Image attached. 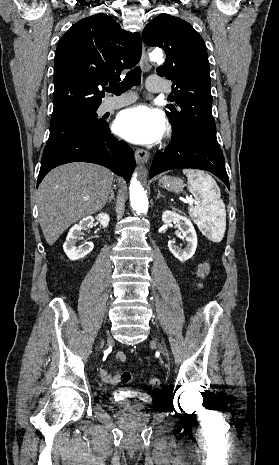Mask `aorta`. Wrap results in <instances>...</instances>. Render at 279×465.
I'll return each instance as SVG.
<instances>
[{
	"label": "aorta",
	"instance_id": "1",
	"mask_svg": "<svg viewBox=\"0 0 279 465\" xmlns=\"http://www.w3.org/2000/svg\"><path fill=\"white\" fill-rule=\"evenodd\" d=\"M150 57L153 60H160L163 57L161 50H155L151 53ZM130 201L132 209L137 213H147L148 211V198L146 192L140 182L136 179V174L130 183Z\"/></svg>",
	"mask_w": 279,
	"mask_h": 465
}]
</instances>
